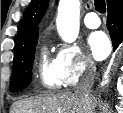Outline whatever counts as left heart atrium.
I'll use <instances>...</instances> for the list:
<instances>
[{
    "instance_id": "obj_1",
    "label": "left heart atrium",
    "mask_w": 123,
    "mask_h": 113,
    "mask_svg": "<svg viewBox=\"0 0 123 113\" xmlns=\"http://www.w3.org/2000/svg\"><path fill=\"white\" fill-rule=\"evenodd\" d=\"M88 45L93 57L97 60L106 58L111 50L110 41L107 35L102 31L90 34Z\"/></svg>"
}]
</instances>
